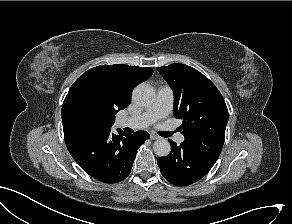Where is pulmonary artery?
<instances>
[{"mask_svg":"<svg viewBox=\"0 0 292 224\" xmlns=\"http://www.w3.org/2000/svg\"><path fill=\"white\" fill-rule=\"evenodd\" d=\"M174 94L170 87H161L157 91L154 103L143 113L135 116L124 117L119 120L121 127H129L133 129L145 128L166 117L173 106ZM178 142L184 140L183 136L178 137Z\"/></svg>","mask_w":292,"mask_h":224,"instance_id":"e3ab8cb5","label":"pulmonary artery"}]
</instances>
